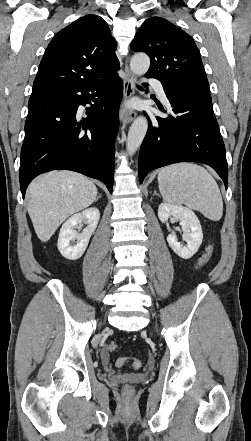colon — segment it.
Here are the masks:
<instances>
[{"label": "colon", "mask_w": 251, "mask_h": 441, "mask_svg": "<svg viewBox=\"0 0 251 441\" xmlns=\"http://www.w3.org/2000/svg\"><path fill=\"white\" fill-rule=\"evenodd\" d=\"M213 252H214V247H213V245H209V246L207 247V249H206V252H205V253L202 255V257L199 259V261H198V263H197V268H201V267H203L204 265H206V264L210 261L212 255H213ZM117 348H118V345H117L115 342H111V343L108 345V349H109V351H111V352H115V351L117 350ZM128 363H131V366H132L133 368H135V369L140 368L141 365H142L141 361H140L139 359H136V358H131V359H130V358H119V359L116 360V365H117L118 367L125 366V365L128 364ZM126 390H127V391H130V388L127 387Z\"/></svg>", "instance_id": "colon-1"}]
</instances>
